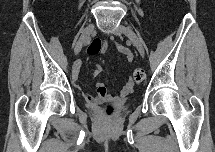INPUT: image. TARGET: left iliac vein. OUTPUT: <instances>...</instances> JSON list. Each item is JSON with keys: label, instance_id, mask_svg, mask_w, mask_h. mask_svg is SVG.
<instances>
[{"label": "left iliac vein", "instance_id": "4c4485c4", "mask_svg": "<svg viewBox=\"0 0 215 152\" xmlns=\"http://www.w3.org/2000/svg\"><path fill=\"white\" fill-rule=\"evenodd\" d=\"M113 33H114V35L124 34L132 42V44L137 48L139 53L142 56L144 55V49H143L142 43H141L140 39L138 38V36L135 34V32L131 28L126 27L124 25H120L113 31Z\"/></svg>", "mask_w": 215, "mask_h": 152}]
</instances>
